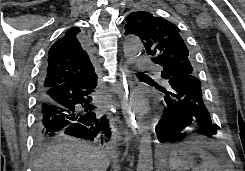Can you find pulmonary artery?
I'll use <instances>...</instances> for the list:
<instances>
[{
    "instance_id": "1",
    "label": "pulmonary artery",
    "mask_w": 245,
    "mask_h": 171,
    "mask_svg": "<svg viewBox=\"0 0 245 171\" xmlns=\"http://www.w3.org/2000/svg\"><path fill=\"white\" fill-rule=\"evenodd\" d=\"M136 61L140 70H145L154 66V63L146 56H138Z\"/></svg>"
}]
</instances>
